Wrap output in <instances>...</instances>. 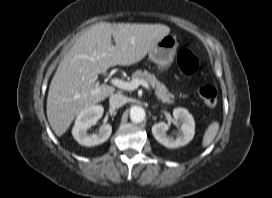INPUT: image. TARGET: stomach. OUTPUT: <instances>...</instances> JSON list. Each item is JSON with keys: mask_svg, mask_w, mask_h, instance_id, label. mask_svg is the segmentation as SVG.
Instances as JSON below:
<instances>
[{"mask_svg": "<svg viewBox=\"0 0 272 198\" xmlns=\"http://www.w3.org/2000/svg\"><path fill=\"white\" fill-rule=\"evenodd\" d=\"M178 42L175 36L166 35L149 51V59L153 61L160 72L166 71L172 64Z\"/></svg>", "mask_w": 272, "mask_h": 198, "instance_id": "obj_1", "label": "stomach"}]
</instances>
